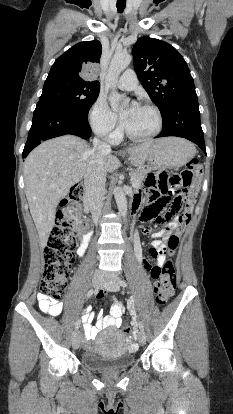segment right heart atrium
Wrapping results in <instances>:
<instances>
[{
    "instance_id": "right-heart-atrium-1",
    "label": "right heart atrium",
    "mask_w": 233,
    "mask_h": 414,
    "mask_svg": "<svg viewBox=\"0 0 233 414\" xmlns=\"http://www.w3.org/2000/svg\"><path fill=\"white\" fill-rule=\"evenodd\" d=\"M88 121L98 136L110 141L117 139L118 118L110 110L104 97L99 96L94 101L88 112Z\"/></svg>"
}]
</instances>
